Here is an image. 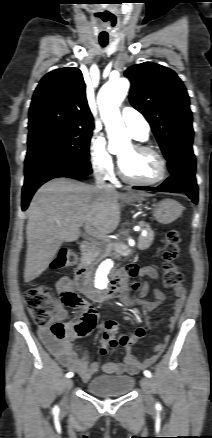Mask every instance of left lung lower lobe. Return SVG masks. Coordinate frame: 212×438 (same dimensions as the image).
Returning <instances> with one entry per match:
<instances>
[{
    "instance_id": "left-lung-lower-lobe-1",
    "label": "left lung lower lobe",
    "mask_w": 212,
    "mask_h": 438,
    "mask_svg": "<svg viewBox=\"0 0 212 438\" xmlns=\"http://www.w3.org/2000/svg\"><path fill=\"white\" fill-rule=\"evenodd\" d=\"M167 161L171 176L163 184L156 188H134L161 192H185L189 198L197 204L198 186L195 178L196 161L192 147H185L176 151Z\"/></svg>"
}]
</instances>
